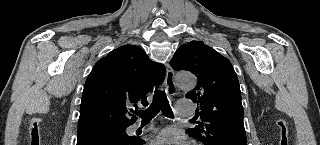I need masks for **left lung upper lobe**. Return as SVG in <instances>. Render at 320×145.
Returning a JSON list of instances; mask_svg holds the SVG:
<instances>
[{
  "mask_svg": "<svg viewBox=\"0 0 320 145\" xmlns=\"http://www.w3.org/2000/svg\"><path fill=\"white\" fill-rule=\"evenodd\" d=\"M170 65L197 77V86L186 97L199 105L203 123L186 130L204 145H220L225 139L246 141L241 91L230 61L202 41L182 45Z\"/></svg>",
  "mask_w": 320,
  "mask_h": 145,
  "instance_id": "1",
  "label": "left lung upper lobe"
}]
</instances>
